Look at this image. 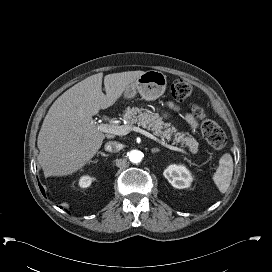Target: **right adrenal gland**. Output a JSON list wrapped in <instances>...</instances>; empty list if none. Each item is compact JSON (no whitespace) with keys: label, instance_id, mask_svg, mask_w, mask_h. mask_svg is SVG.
I'll list each match as a JSON object with an SVG mask.
<instances>
[{"label":"right adrenal gland","instance_id":"2a0ac1e0","mask_svg":"<svg viewBox=\"0 0 272 272\" xmlns=\"http://www.w3.org/2000/svg\"><path fill=\"white\" fill-rule=\"evenodd\" d=\"M98 154H101L104 157H108L109 156L108 154H105L104 152H101V151H99Z\"/></svg>","mask_w":272,"mask_h":272}]
</instances>
